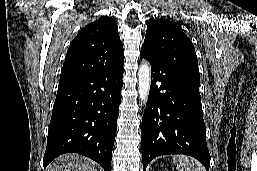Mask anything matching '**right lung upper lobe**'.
<instances>
[{"mask_svg":"<svg viewBox=\"0 0 257 171\" xmlns=\"http://www.w3.org/2000/svg\"><path fill=\"white\" fill-rule=\"evenodd\" d=\"M123 52L115 20L101 17L80 30L71 42L60 78L117 66L124 62Z\"/></svg>","mask_w":257,"mask_h":171,"instance_id":"obj_1","label":"right lung upper lobe"}]
</instances>
